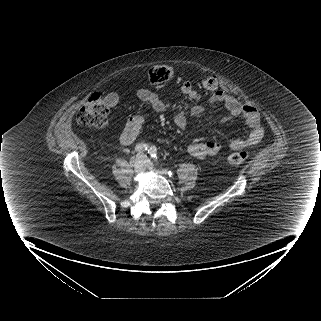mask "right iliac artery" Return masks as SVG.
Segmentation results:
<instances>
[{"mask_svg":"<svg viewBox=\"0 0 321 321\" xmlns=\"http://www.w3.org/2000/svg\"><path fill=\"white\" fill-rule=\"evenodd\" d=\"M148 147L149 146L145 143H139L135 146V152H137V153L144 152L148 149Z\"/></svg>","mask_w":321,"mask_h":321,"instance_id":"right-iliac-artery-1","label":"right iliac artery"}]
</instances>
